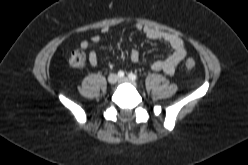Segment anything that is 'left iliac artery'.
Returning a JSON list of instances; mask_svg holds the SVG:
<instances>
[{"mask_svg":"<svg viewBox=\"0 0 248 165\" xmlns=\"http://www.w3.org/2000/svg\"><path fill=\"white\" fill-rule=\"evenodd\" d=\"M128 77L131 79V80H136L137 79V75L133 74V73H129L128 74Z\"/></svg>","mask_w":248,"mask_h":165,"instance_id":"obj_1","label":"left iliac artery"}]
</instances>
